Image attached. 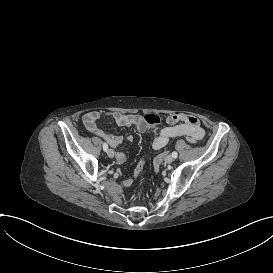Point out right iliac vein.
Instances as JSON below:
<instances>
[{
  "instance_id": "1",
  "label": "right iliac vein",
  "mask_w": 273,
  "mask_h": 273,
  "mask_svg": "<svg viewBox=\"0 0 273 273\" xmlns=\"http://www.w3.org/2000/svg\"><path fill=\"white\" fill-rule=\"evenodd\" d=\"M107 155L110 157V158H113L115 156V153L112 149H108L107 150Z\"/></svg>"
}]
</instances>
